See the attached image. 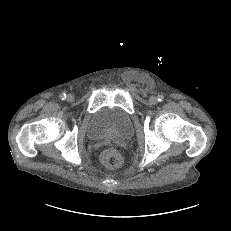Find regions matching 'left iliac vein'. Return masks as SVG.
<instances>
[{
	"mask_svg": "<svg viewBox=\"0 0 231 231\" xmlns=\"http://www.w3.org/2000/svg\"><path fill=\"white\" fill-rule=\"evenodd\" d=\"M149 102H150V104L154 105V104H156L158 102V99L155 96H151L149 98Z\"/></svg>",
	"mask_w": 231,
	"mask_h": 231,
	"instance_id": "4c4485c4",
	"label": "left iliac vein"
}]
</instances>
